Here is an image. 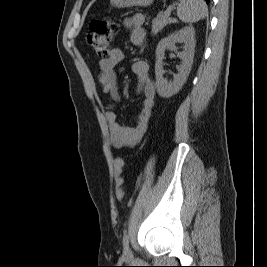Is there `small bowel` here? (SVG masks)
<instances>
[{"instance_id":"obj_1","label":"small bowel","mask_w":267,"mask_h":267,"mask_svg":"<svg viewBox=\"0 0 267 267\" xmlns=\"http://www.w3.org/2000/svg\"><path fill=\"white\" fill-rule=\"evenodd\" d=\"M144 22L145 16L141 13L134 14L125 22L130 30V42L135 47H141L145 41ZM123 58L122 50L113 48L99 61V83L111 100L105 105V117L109 126L111 144L117 149L134 147L141 142L153 115L155 100V86L149 72V65L145 60H136L132 64V71L136 76L138 91L143 95L142 108L134 126L122 125L117 120L114 107L115 103L120 101V95L115 67Z\"/></svg>"}]
</instances>
